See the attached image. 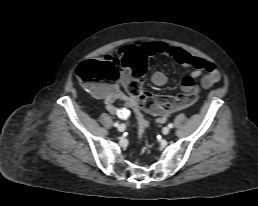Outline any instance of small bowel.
I'll use <instances>...</instances> for the list:
<instances>
[{
	"label": "small bowel",
	"instance_id": "c3829d8e",
	"mask_svg": "<svg viewBox=\"0 0 258 206\" xmlns=\"http://www.w3.org/2000/svg\"><path fill=\"white\" fill-rule=\"evenodd\" d=\"M139 53L145 57L164 55L184 67L193 68L194 70L191 74L181 79L180 86L184 92L196 93L200 89L210 88L221 77L214 63L200 57L192 56L184 49L173 47L163 41L145 42L142 45L131 44L120 49L117 56H108L107 59L111 62L118 63ZM197 79H199V83H196ZM151 80L154 85L163 86L167 83V76L163 72L157 71L152 75ZM99 96L105 100L106 107L111 114L121 118L129 116V111L126 108L117 107L114 104L117 101L125 104L130 102L129 98L117 87L103 88L100 90ZM157 120L163 123L166 120V116L160 115Z\"/></svg>",
	"mask_w": 258,
	"mask_h": 206
}]
</instances>
